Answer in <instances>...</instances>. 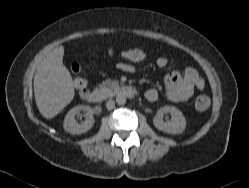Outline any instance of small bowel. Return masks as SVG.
I'll return each instance as SVG.
<instances>
[{
  "instance_id": "c3829d8e",
  "label": "small bowel",
  "mask_w": 249,
  "mask_h": 188,
  "mask_svg": "<svg viewBox=\"0 0 249 188\" xmlns=\"http://www.w3.org/2000/svg\"><path fill=\"white\" fill-rule=\"evenodd\" d=\"M123 58L131 62H140L145 59V57L134 59L128 56ZM156 64L159 68H165L168 66L169 60L166 57H159ZM118 68L127 73H133L135 71V67L129 63H120L118 64ZM204 87V80L199 73L191 67L183 71L174 70L165 78L166 96L172 102L188 101L194 96L197 90L202 91ZM146 98L150 102H156L159 98L158 90L155 88L148 89L146 91Z\"/></svg>"
}]
</instances>
